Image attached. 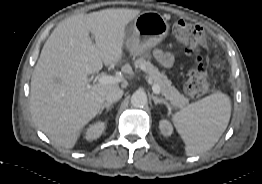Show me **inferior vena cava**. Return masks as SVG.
Returning a JSON list of instances; mask_svg holds the SVG:
<instances>
[{"mask_svg":"<svg viewBox=\"0 0 262 184\" xmlns=\"http://www.w3.org/2000/svg\"><path fill=\"white\" fill-rule=\"evenodd\" d=\"M123 96V90L120 88H113L109 90L105 96V100L107 103H114L120 100V98Z\"/></svg>","mask_w":262,"mask_h":184,"instance_id":"602c4592","label":"inferior vena cava"}]
</instances>
